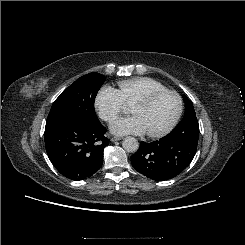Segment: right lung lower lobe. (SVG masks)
Returning a JSON list of instances; mask_svg holds the SVG:
<instances>
[{"label": "right lung lower lobe", "mask_w": 245, "mask_h": 245, "mask_svg": "<svg viewBox=\"0 0 245 245\" xmlns=\"http://www.w3.org/2000/svg\"><path fill=\"white\" fill-rule=\"evenodd\" d=\"M101 123L76 118H56L46 122L45 146L54 167L71 180H82L102 166L103 150L109 144Z\"/></svg>", "instance_id": "98d812e1"}]
</instances>
